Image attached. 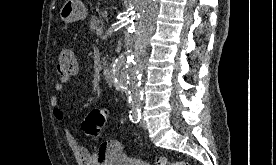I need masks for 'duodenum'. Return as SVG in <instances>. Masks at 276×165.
<instances>
[{
    "mask_svg": "<svg viewBox=\"0 0 276 165\" xmlns=\"http://www.w3.org/2000/svg\"><path fill=\"white\" fill-rule=\"evenodd\" d=\"M103 76L107 81H110L111 79V72H110V68L109 67H105L103 70Z\"/></svg>",
    "mask_w": 276,
    "mask_h": 165,
    "instance_id": "obj_1",
    "label": "duodenum"
}]
</instances>
